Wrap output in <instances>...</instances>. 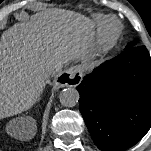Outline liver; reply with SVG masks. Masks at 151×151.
Listing matches in <instances>:
<instances>
[{"mask_svg":"<svg viewBox=\"0 0 151 151\" xmlns=\"http://www.w3.org/2000/svg\"><path fill=\"white\" fill-rule=\"evenodd\" d=\"M92 27L93 22L80 13L54 9L5 31L0 41V119L39 101L55 65L84 57ZM36 129L33 122L27 140Z\"/></svg>","mask_w":151,"mask_h":151,"instance_id":"liver-1","label":"liver"}]
</instances>
